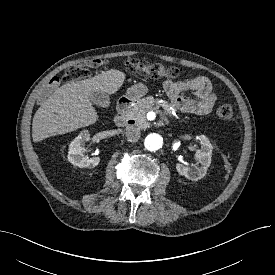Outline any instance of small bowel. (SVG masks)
<instances>
[{"instance_id":"c3829d8e","label":"small bowel","mask_w":275,"mask_h":275,"mask_svg":"<svg viewBox=\"0 0 275 275\" xmlns=\"http://www.w3.org/2000/svg\"><path fill=\"white\" fill-rule=\"evenodd\" d=\"M163 89L170 102L177 109L196 115H206L211 112L216 96L208 78L198 76L178 82L166 80ZM193 92L196 99L185 98L184 92Z\"/></svg>"}]
</instances>
